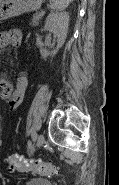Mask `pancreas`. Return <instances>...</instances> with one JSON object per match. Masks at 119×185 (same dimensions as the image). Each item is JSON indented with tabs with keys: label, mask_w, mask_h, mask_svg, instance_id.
<instances>
[{
	"label": "pancreas",
	"mask_w": 119,
	"mask_h": 185,
	"mask_svg": "<svg viewBox=\"0 0 119 185\" xmlns=\"http://www.w3.org/2000/svg\"><path fill=\"white\" fill-rule=\"evenodd\" d=\"M42 16L43 15L41 13H35L33 15L31 25L32 26H37L38 25V21L42 18Z\"/></svg>",
	"instance_id": "pancreas-1"
}]
</instances>
